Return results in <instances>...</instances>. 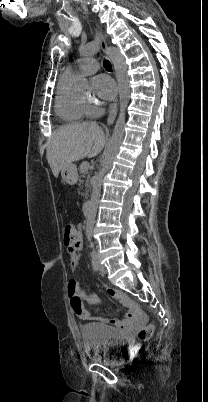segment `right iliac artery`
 <instances>
[{
    "instance_id": "obj_1",
    "label": "right iliac artery",
    "mask_w": 208,
    "mask_h": 402,
    "mask_svg": "<svg viewBox=\"0 0 208 402\" xmlns=\"http://www.w3.org/2000/svg\"><path fill=\"white\" fill-rule=\"evenodd\" d=\"M91 264H92V267H93L94 271L98 272L99 271V266H98V262H97V259H96L95 255H92Z\"/></svg>"
}]
</instances>
